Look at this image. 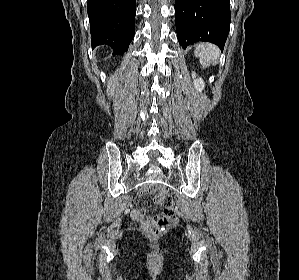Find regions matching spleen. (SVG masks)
<instances>
[{
  "label": "spleen",
  "instance_id": "3e777b00",
  "mask_svg": "<svg viewBox=\"0 0 299 280\" xmlns=\"http://www.w3.org/2000/svg\"><path fill=\"white\" fill-rule=\"evenodd\" d=\"M194 53L196 57H199L200 64L203 67L215 64L220 55L219 49L215 45L209 43L199 44Z\"/></svg>",
  "mask_w": 299,
  "mask_h": 280
}]
</instances>
